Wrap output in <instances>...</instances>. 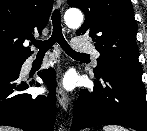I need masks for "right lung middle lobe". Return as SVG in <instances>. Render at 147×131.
Returning a JSON list of instances; mask_svg holds the SVG:
<instances>
[{
  "mask_svg": "<svg viewBox=\"0 0 147 131\" xmlns=\"http://www.w3.org/2000/svg\"><path fill=\"white\" fill-rule=\"evenodd\" d=\"M25 60L0 59V73L19 72Z\"/></svg>",
  "mask_w": 147,
  "mask_h": 131,
  "instance_id": "right-lung-middle-lobe-1",
  "label": "right lung middle lobe"
}]
</instances>
